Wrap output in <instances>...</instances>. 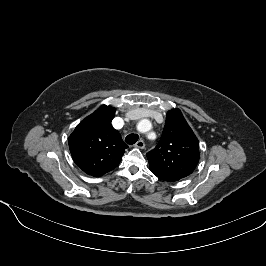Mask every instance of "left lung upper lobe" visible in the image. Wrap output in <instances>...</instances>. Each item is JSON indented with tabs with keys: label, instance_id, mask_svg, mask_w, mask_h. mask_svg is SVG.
Segmentation results:
<instances>
[{
	"label": "left lung upper lobe",
	"instance_id": "1",
	"mask_svg": "<svg viewBox=\"0 0 266 266\" xmlns=\"http://www.w3.org/2000/svg\"><path fill=\"white\" fill-rule=\"evenodd\" d=\"M147 159L151 172L168 182L185 178L196 168L199 142L179 109L167 113L160 142Z\"/></svg>",
	"mask_w": 266,
	"mask_h": 266
}]
</instances>
